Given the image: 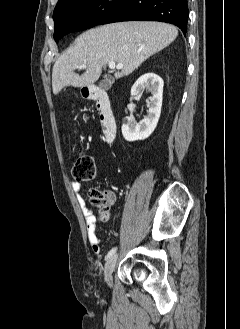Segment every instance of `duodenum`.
I'll return each mask as SVG.
<instances>
[{"label":"duodenum","instance_id":"obj_1","mask_svg":"<svg viewBox=\"0 0 240 329\" xmlns=\"http://www.w3.org/2000/svg\"><path fill=\"white\" fill-rule=\"evenodd\" d=\"M84 90L88 99L96 101L105 140L108 142L114 141L117 134V121L108 94L95 85L87 86Z\"/></svg>","mask_w":240,"mask_h":329}]
</instances>
